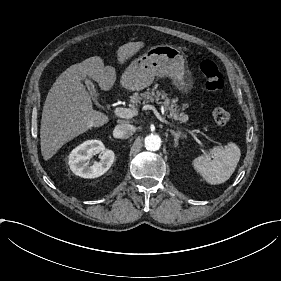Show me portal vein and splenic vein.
<instances>
[{"label":"portal vein and splenic vein","instance_id":"obj_1","mask_svg":"<svg viewBox=\"0 0 281 281\" xmlns=\"http://www.w3.org/2000/svg\"><path fill=\"white\" fill-rule=\"evenodd\" d=\"M143 110H151L154 115L159 119L161 120L165 125H168L170 127H173L174 130L176 131H180V132H183V133H188V134H191L193 138H195V141L198 142V145H200V148H201V154L202 156L206 157L207 161L209 160V155L206 153V149L203 148V145H202V142H200V139L197 137L198 136V133L197 132H200L204 135V138L211 141L212 143H216V145L218 147H222V144H220L219 141H216L212 138H210L209 136H207V133L203 130H200V129H189V128H184V127H180L179 125L177 124H174L172 121H169V120H166L165 118H161L159 112L156 110V108L152 105H144L142 107ZM114 113L116 116L120 117V118H125V119H130V118H133L134 116H137L138 115V110L136 108H123V107H117L115 108L114 110Z\"/></svg>","mask_w":281,"mask_h":281}]
</instances>
